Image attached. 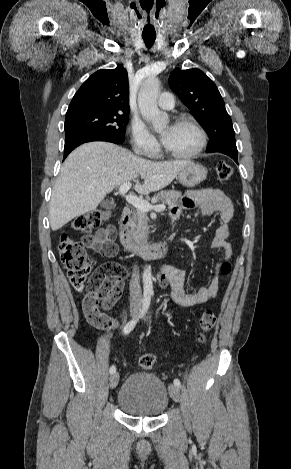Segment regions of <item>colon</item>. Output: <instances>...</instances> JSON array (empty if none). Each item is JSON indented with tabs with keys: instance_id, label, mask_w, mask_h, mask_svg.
<instances>
[{
	"instance_id": "obj_1",
	"label": "colon",
	"mask_w": 291,
	"mask_h": 469,
	"mask_svg": "<svg viewBox=\"0 0 291 469\" xmlns=\"http://www.w3.org/2000/svg\"><path fill=\"white\" fill-rule=\"evenodd\" d=\"M216 174L221 181H228L233 175V168L226 162L216 165ZM110 216L107 210H93L78 216L73 221L74 230L88 234L100 227ZM92 243V236L87 235L82 240H76L68 235H63L59 243L60 258L67 270L71 285L77 290H84L85 296L82 307L87 321L101 329L112 327V320L108 318L104 310L109 309L116 301L121 290L123 280L128 276L125 267L117 263H106L91 273L87 248ZM107 251L116 254L117 246L113 241ZM231 264L224 262L221 267L223 275L229 274ZM216 315L210 308L203 309L199 319L198 341L203 343L206 334L216 325ZM155 362L152 354H144L139 359V365L144 370H150Z\"/></svg>"
}]
</instances>
